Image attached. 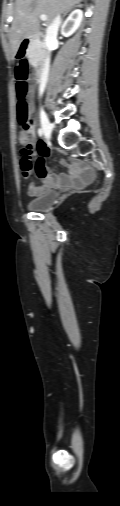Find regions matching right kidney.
<instances>
[{
  "label": "right kidney",
  "instance_id": "obj_1",
  "mask_svg": "<svg viewBox=\"0 0 120 506\" xmlns=\"http://www.w3.org/2000/svg\"><path fill=\"white\" fill-rule=\"evenodd\" d=\"M83 18V12L80 9L74 10L61 27V34L65 37L72 35L80 26Z\"/></svg>",
  "mask_w": 120,
  "mask_h": 506
}]
</instances>
